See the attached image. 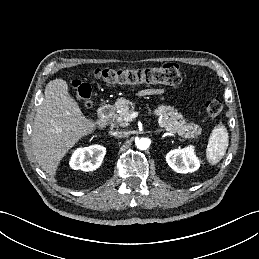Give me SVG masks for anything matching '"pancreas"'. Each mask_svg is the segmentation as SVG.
<instances>
[{
	"label": "pancreas",
	"instance_id": "cf45deb5",
	"mask_svg": "<svg viewBox=\"0 0 259 259\" xmlns=\"http://www.w3.org/2000/svg\"><path fill=\"white\" fill-rule=\"evenodd\" d=\"M114 106L120 112L114 113L113 119L122 127L128 126L124 118L133 112L134 103L128 99L120 98ZM130 107L132 108L130 109ZM153 112L159 117L158 123L160 127L170 133L178 134L184 138L196 139L201 134V127L199 125L187 123L185 119H183L182 114L170 105H159Z\"/></svg>",
	"mask_w": 259,
	"mask_h": 259
}]
</instances>
